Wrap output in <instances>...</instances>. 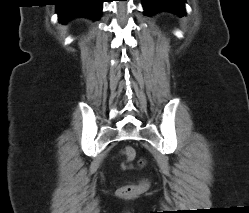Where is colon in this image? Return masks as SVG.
Segmentation results:
<instances>
[{
    "instance_id": "5ec220e1",
    "label": "colon",
    "mask_w": 249,
    "mask_h": 213,
    "mask_svg": "<svg viewBox=\"0 0 249 213\" xmlns=\"http://www.w3.org/2000/svg\"><path fill=\"white\" fill-rule=\"evenodd\" d=\"M123 154L125 155L127 160H132L135 156V151L132 147L127 146L123 149ZM137 192V188L135 186H123L119 189L118 194L121 197H131L135 195Z\"/></svg>"
}]
</instances>
